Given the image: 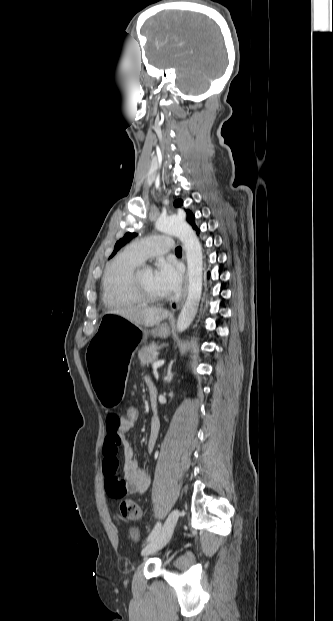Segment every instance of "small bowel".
Wrapping results in <instances>:
<instances>
[{
	"mask_svg": "<svg viewBox=\"0 0 333 621\" xmlns=\"http://www.w3.org/2000/svg\"><path fill=\"white\" fill-rule=\"evenodd\" d=\"M147 378V384H151ZM107 435L103 444V472L105 488L112 498H122L127 494L145 493L150 486V476L138 467L131 443L126 439V433L133 427L124 416L110 413L106 420ZM159 433V421L153 418L147 441L148 451H152ZM122 453L124 463L120 476V462L118 455Z\"/></svg>",
	"mask_w": 333,
	"mask_h": 621,
	"instance_id": "obj_1",
	"label": "small bowel"
}]
</instances>
